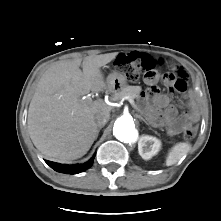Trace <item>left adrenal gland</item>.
I'll return each instance as SVG.
<instances>
[{"mask_svg":"<svg viewBox=\"0 0 221 221\" xmlns=\"http://www.w3.org/2000/svg\"><path fill=\"white\" fill-rule=\"evenodd\" d=\"M138 118L143 120L146 124H148L147 121H145V119H143L141 116H138Z\"/></svg>","mask_w":221,"mask_h":221,"instance_id":"a2214340","label":"left adrenal gland"}]
</instances>
